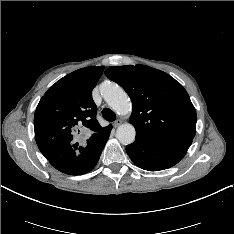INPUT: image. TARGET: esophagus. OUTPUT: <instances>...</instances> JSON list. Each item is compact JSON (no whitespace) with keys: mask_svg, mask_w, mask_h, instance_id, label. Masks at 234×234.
<instances>
[{"mask_svg":"<svg viewBox=\"0 0 234 234\" xmlns=\"http://www.w3.org/2000/svg\"><path fill=\"white\" fill-rule=\"evenodd\" d=\"M121 124H122V120H121V119H117V120L113 123L114 127H118V126H120Z\"/></svg>","mask_w":234,"mask_h":234,"instance_id":"1","label":"esophagus"}]
</instances>
